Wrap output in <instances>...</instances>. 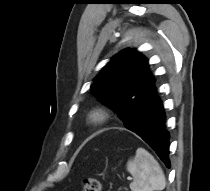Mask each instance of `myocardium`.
<instances>
[{"label":"myocardium","mask_w":210,"mask_h":191,"mask_svg":"<svg viewBox=\"0 0 210 191\" xmlns=\"http://www.w3.org/2000/svg\"><path fill=\"white\" fill-rule=\"evenodd\" d=\"M113 118L112 110L105 105L93 107L86 115V124L91 128H99L108 124Z\"/></svg>","instance_id":"myocardium-1"}]
</instances>
